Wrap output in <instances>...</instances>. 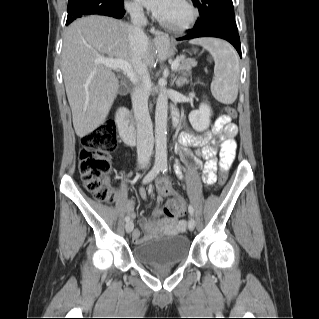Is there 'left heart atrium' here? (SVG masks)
Listing matches in <instances>:
<instances>
[{
	"mask_svg": "<svg viewBox=\"0 0 319 319\" xmlns=\"http://www.w3.org/2000/svg\"><path fill=\"white\" fill-rule=\"evenodd\" d=\"M145 7L160 16L167 8L170 0H138Z\"/></svg>",
	"mask_w": 319,
	"mask_h": 319,
	"instance_id": "1",
	"label": "left heart atrium"
}]
</instances>
